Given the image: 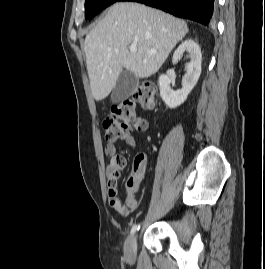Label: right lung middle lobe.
<instances>
[{
    "label": "right lung middle lobe",
    "instance_id": "dd1d6c3e",
    "mask_svg": "<svg viewBox=\"0 0 265 269\" xmlns=\"http://www.w3.org/2000/svg\"><path fill=\"white\" fill-rule=\"evenodd\" d=\"M122 0H86L85 1V18L91 19L104 8Z\"/></svg>",
    "mask_w": 265,
    "mask_h": 269
}]
</instances>
